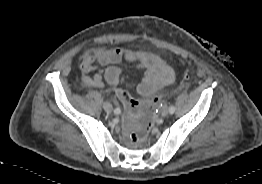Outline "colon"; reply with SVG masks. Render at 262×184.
<instances>
[{
	"label": "colon",
	"mask_w": 262,
	"mask_h": 184,
	"mask_svg": "<svg viewBox=\"0 0 262 184\" xmlns=\"http://www.w3.org/2000/svg\"><path fill=\"white\" fill-rule=\"evenodd\" d=\"M116 95L126 109L125 127L128 131V139L131 143L138 144L146 138L149 132L152 112L160 99L155 97L146 103H139L123 89H118Z\"/></svg>",
	"instance_id": "1"
}]
</instances>
